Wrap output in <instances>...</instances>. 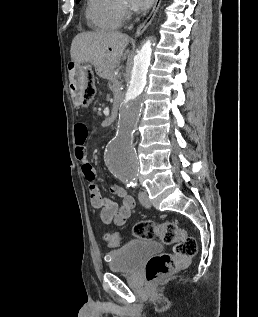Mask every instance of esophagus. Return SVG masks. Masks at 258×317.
Masks as SVG:
<instances>
[{
    "mask_svg": "<svg viewBox=\"0 0 258 317\" xmlns=\"http://www.w3.org/2000/svg\"><path fill=\"white\" fill-rule=\"evenodd\" d=\"M160 2H161V0H155V4H154V7L152 9V12L146 18V20L138 27V29L135 33V37H139V35H141L148 28V26L152 22L154 16L156 15V12L160 6Z\"/></svg>",
    "mask_w": 258,
    "mask_h": 317,
    "instance_id": "34e87169",
    "label": "esophagus"
}]
</instances>
